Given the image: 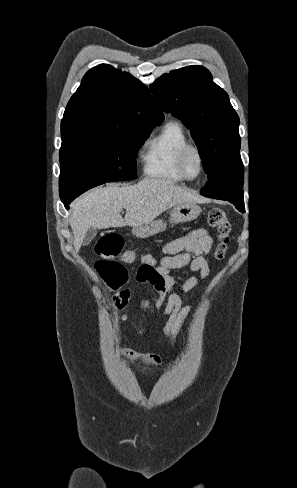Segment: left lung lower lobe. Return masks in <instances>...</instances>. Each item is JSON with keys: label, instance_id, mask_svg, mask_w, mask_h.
I'll use <instances>...</instances> for the list:
<instances>
[{"label": "left lung lower lobe", "instance_id": "0a47b994", "mask_svg": "<svg viewBox=\"0 0 297 488\" xmlns=\"http://www.w3.org/2000/svg\"><path fill=\"white\" fill-rule=\"evenodd\" d=\"M236 208H237L239 211H241V212H244V211H245V209H244V207H243V206H236Z\"/></svg>", "mask_w": 297, "mask_h": 488}]
</instances>
